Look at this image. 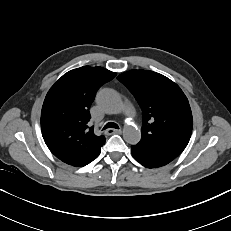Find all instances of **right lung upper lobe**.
<instances>
[{"label":"right lung upper lobe","instance_id":"right-lung-upper-lobe-1","mask_svg":"<svg viewBox=\"0 0 231 231\" xmlns=\"http://www.w3.org/2000/svg\"><path fill=\"white\" fill-rule=\"evenodd\" d=\"M116 76L102 67L83 66L64 74L49 90L41 129L50 151L72 166H85L100 154L106 138L88 128L89 108L97 90Z\"/></svg>","mask_w":231,"mask_h":231}]
</instances>
